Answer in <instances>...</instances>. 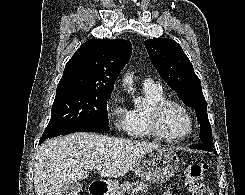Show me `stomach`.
Segmentation results:
<instances>
[{
  "instance_id": "stomach-1",
  "label": "stomach",
  "mask_w": 245,
  "mask_h": 195,
  "mask_svg": "<svg viewBox=\"0 0 245 195\" xmlns=\"http://www.w3.org/2000/svg\"><path fill=\"white\" fill-rule=\"evenodd\" d=\"M178 155L171 148H158L143 154L135 167V174L144 182L163 183L179 168ZM117 185V182L114 183Z\"/></svg>"
}]
</instances>
